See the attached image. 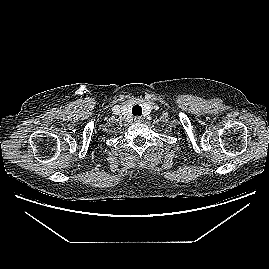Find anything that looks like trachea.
<instances>
[{
  "instance_id": "obj_1",
  "label": "trachea",
  "mask_w": 269,
  "mask_h": 269,
  "mask_svg": "<svg viewBox=\"0 0 269 269\" xmlns=\"http://www.w3.org/2000/svg\"><path fill=\"white\" fill-rule=\"evenodd\" d=\"M132 114L134 116H141L142 115V108L140 105H134L132 108Z\"/></svg>"
}]
</instances>
